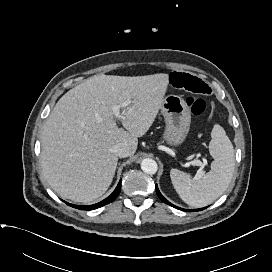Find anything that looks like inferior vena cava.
Returning a JSON list of instances; mask_svg holds the SVG:
<instances>
[{
    "label": "inferior vena cava",
    "instance_id": "obj_1",
    "mask_svg": "<svg viewBox=\"0 0 272 272\" xmlns=\"http://www.w3.org/2000/svg\"><path fill=\"white\" fill-rule=\"evenodd\" d=\"M112 152L118 157L124 158L129 156V148L125 143H119L112 148Z\"/></svg>",
    "mask_w": 272,
    "mask_h": 272
}]
</instances>
